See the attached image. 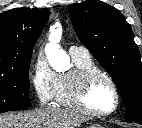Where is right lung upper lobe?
Returning a JSON list of instances; mask_svg holds the SVG:
<instances>
[{"instance_id": "1", "label": "right lung upper lobe", "mask_w": 142, "mask_h": 128, "mask_svg": "<svg viewBox=\"0 0 142 128\" xmlns=\"http://www.w3.org/2000/svg\"><path fill=\"white\" fill-rule=\"evenodd\" d=\"M49 14L44 8H15L0 14V71L16 69L31 60Z\"/></svg>"}]
</instances>
